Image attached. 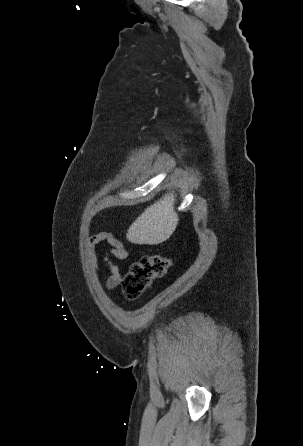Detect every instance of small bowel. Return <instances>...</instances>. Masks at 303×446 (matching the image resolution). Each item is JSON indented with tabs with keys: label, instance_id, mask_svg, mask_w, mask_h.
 Wrapping results in <instances>:
<instances>
[{
	"label": "small bowel",
	"instance_id": "small-bowel-1",
	"mask_svg": "<svg viewBox=\"0 0 303 446\" xmlns=\"http://www.w3.org/2000/svg\"><path fill=\"white\" fill-rule=\"evenodd\" d=\"M101 242H106L110 248L104 257V262L110 271V275L106 282V287L112 290L123 282V277L120 273L119 267L114 264L112 257L119 260H124L128 257V251L124 244L114 237L111 233L100 232L89 237L87 242V251L89 255V263L92 270L98 272V260L96 255V246Z\"/></svg>",
	"mask_w": 303,
	"mask_h": 446
}]
</instances>
